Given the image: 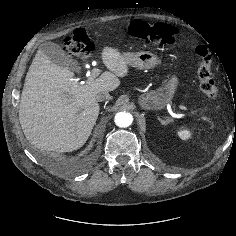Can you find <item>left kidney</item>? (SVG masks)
Listing matches in <instances>:
<instances>
[{
  "label": "left kidney",
  "mask_w": 236,
  "mask_h": 236,
  "mask_svg": "<svg viewBox=\"0 0 236 236\" xmlns=\"http://www.w3.org/2000/svg\"><path fill=\"white\" fill-rule=\"evenodd\" d=\"M177 133L182 140H188L191 138V132L189 130L181 129Z\"/></svg>",
  "instance_id": "obj_1"
}]
</instances>
